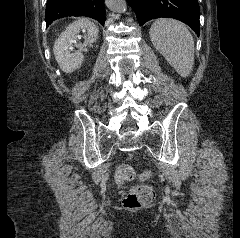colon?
<instances>
[{
	"mask_svg": "<svg viewBox=\"0 0 240 238\" xmlns=\"http://www.w3.org/2000/svg\"><path fill=\"white\" fill-rule=\"evenodd\" d=\"M136 177L134 169L128 165L117 168L115 178L118 184L133 180ZM154 199L153 189L146 184L138 183L129 187L123 197V206L127 209H136L149 205Z\"/></svg>",
	"mask_w": 240,
	"mask_h": 238,
	"instance_id": "obj_1",
	"label": "colon"
}]
</instances>
